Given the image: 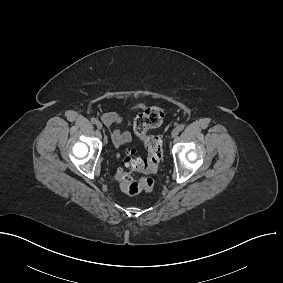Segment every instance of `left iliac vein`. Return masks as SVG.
<instances>
[{"instance_id":"1","label":"left iliac vein","mask_w":283,"mask_h":283,"mask_svg":"<svg viewBox=\"0 0 283 283\" xmlns=\"http://www.w3.org/2000/svg\"><path fill=\"white\" fill-rule=\"evenodd\" d=\"M178 133H179L178 128H175V129L172 130L171 135H172V137L174 138V137H176V136L178 135Z\"/></svg>"}]
</instances>
